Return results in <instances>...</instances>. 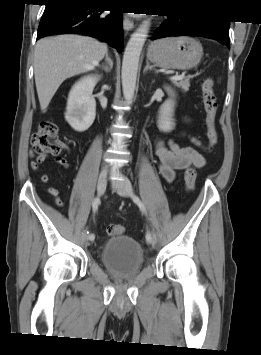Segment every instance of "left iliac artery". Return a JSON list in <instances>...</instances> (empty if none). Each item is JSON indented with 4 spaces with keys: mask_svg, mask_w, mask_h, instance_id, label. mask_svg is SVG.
Instances as JSON below:
<instances>
[{
    "mask_svg": "<svg viewBox=\"0 0 261 355\" xmlns=\"http://www.w3.org/2000/svg\"><path fill=\"white\" fill-rule=\"evenodd\" d=\"M132 199H133V201L139 206V208L141 209V211L145 213V212H146V211H145V207H144L143 203L141 202V200L139 199V197L136 196V195H132ZM152 239H153V237H152L151 233L148 231V232L146 233V241H147L148 243H150V242L152 241Z\"/></svg>",
    "mask_w": 261,
    "mask_h": 355,
    "instance_id": "obj_1",
    "label": "left iliac artery"
}]
</instances>
